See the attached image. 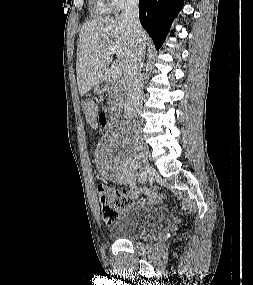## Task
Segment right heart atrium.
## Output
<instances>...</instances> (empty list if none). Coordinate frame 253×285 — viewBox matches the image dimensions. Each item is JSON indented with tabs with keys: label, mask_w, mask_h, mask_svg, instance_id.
<instances>
[{
	"label": "right heart atrium",
	"mask_w": 253,
	"mask_h": 285,
	"mask_svg": "<svg viewBox=\"0 0 253 285\" xmlns=\"http://www.w3.org/2000/svg\"><path fill=\"white\" fill-rule=\"evenodd\" d=\"M137 1L138 0H108L111 8L117 11L136 3Z\"/></svg>",
	"instance_id": "1"
}]
</instances>
